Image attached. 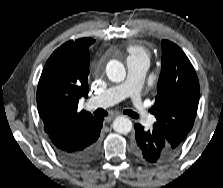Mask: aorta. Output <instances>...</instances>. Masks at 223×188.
<instances>
[{"label":"aorta","mask_w":223,"mask_h":188,"mask_svg":"<svg viewBox=\"0 0 223 188\" xmlns=\"http://www.w3.org/2000/svg\"><path fill=\"white\" fill-rule=\"evenodd\" d=\"M106 73L112 82H122L126 77L124 65L118 60H111L107 63ZM132 122L125 116L117 117L113 124V130L120 134H127L132 130Z\"/></svg>","instance_id":"1"}]
</instances>
